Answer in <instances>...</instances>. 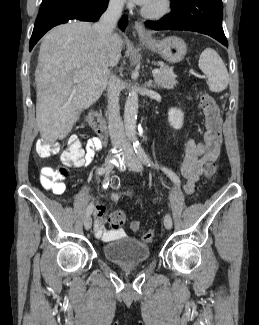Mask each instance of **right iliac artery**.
Here are the masks:
<instances>
[{
	"label": "right iliac artery",
	"instance_id": "1",
	"mask_svg": "<svg viewBox=\"0 0 259 325\" xmlns=\"http://www.w3.org/2000/svg\"><path fill=\"white\" fill-rule=\"evenodd\" d=\"M104 173H105L104 167L98 168V170H97L98 175H103ZM92 211H93V204H90L86 209V216L87 217L90 216Z\"/></svg>",
	"mask_w": 259,
	"mask_h": 325
}]
</instances>
